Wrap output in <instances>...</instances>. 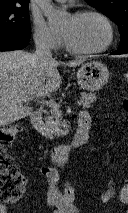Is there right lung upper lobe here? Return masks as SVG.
Listing matches in <instances>:
<instances>
[{
	"label": "right lung upper lobe",
	"mask_w": 128,
	"mask_h": 213,
	"mask_svg": "<svg viewBox=\"0 0 128 213\" xmlns=\"http://www.w3.org/2000/svg\"><path fill=\"white\" fill-rule=\"evenodd\" d=\"M29 0H0V6L5 5H27Z\"/></svg>",
	"instance_id": "cb5924a9"
}]
</instances>
